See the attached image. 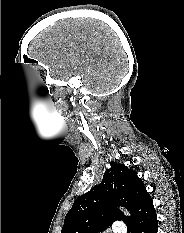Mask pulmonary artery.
<instances>
[{
  "mask_svg": "<svg viewBox=\"0 0 184 233\" xmlns=\"http://www.w3.org/2000/svg\"><path fill=\"white\" fill-rule=\"evenodd\" d=\"M127 229L123 222L116 221L112 226V233H126Z\"/></svg>",
  "mask_w": 184,
  "mask_h": 233,
  "instance_id": "e3ab8cb5",
  "label": "pulmonary artery"
}]
</instances>
